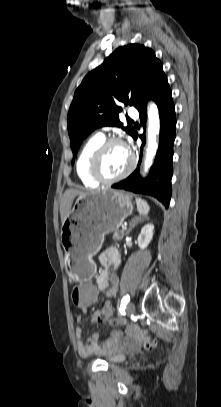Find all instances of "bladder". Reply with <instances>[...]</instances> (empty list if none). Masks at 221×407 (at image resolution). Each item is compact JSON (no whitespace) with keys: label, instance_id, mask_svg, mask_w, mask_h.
Instances as JSON below:
<instances>
[{"label":"bladder","instance_id":"obj_1","mask_svg":"<svg viewBox=\"0 0 221 407\" xmlns=\"http://www.w3.org/2000/svg\"><path fill=\"white\" fill-rule=\"evenodd\" d=\"M107 361L111 364L121 363L125 359V355L117 349L108 352Z\"/></svg>","mask_w":221,"mask_h":407}]
</instances>
